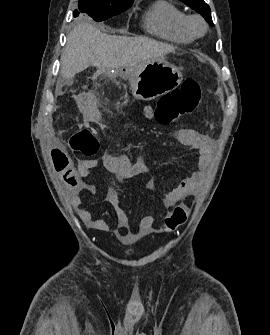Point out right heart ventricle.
<instances>
[{
  "instance_id": "obj_1",
  "label": "right heart ventricle",
  "mask_w": 270,
  "mask_h": 335,
  "mask_svg": "<svg viewBox=\"0 0 270 335\" xmlns=\"http://www.w3.org/2000/svg\"><path fill=\"white\" fill-rule=\"evenodd\" d=\"M186 14L168 0H157L144 13L145 30L156 37L175 44H188L195 37L186 29Z\"/></svg>"
}]
</instances>
